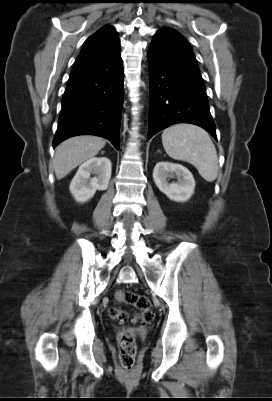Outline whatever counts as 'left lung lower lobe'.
Returning <instances> with one entry per match:
<instances>
[{
	"instance_id": "left-lung-lower-lobe-1",
	"label": "left lung lower lobe",
	"mask_w": 272,
	"mask_h": 401,
	"mask_svg": "<svg viewBox=\"0 0 272 401\" xmlns=\"http://www.w3.org/2000/svg\"><path fill=\"white\" fill-rule=\"evenodd\" d=\"M150 112L148 139L177 123L198 125L216 137L206 89L190 46L160 29L148 50Z\"/></svg>"
}]
</instances>
